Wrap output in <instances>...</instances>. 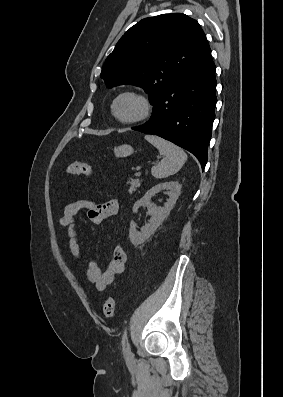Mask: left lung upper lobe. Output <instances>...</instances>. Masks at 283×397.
<instances>
[{"label": "left lung upper lobe", "instance_id": "left-lung-upper-lobe-1", "mask_svg": "<svg viewBox=\"0 0 283 397\" xmlns=\"http://www.w3.org/2000/svg\"><path fill=\"white\" fill-rule=\"evenodd\" d=\"M211 51L199 23L182 13L142 19L118 41L101 77L107 87H142L155 105L172 84Z\"/></svg>", "mask_w": 283, "mask_h": 397}]
</instances>
